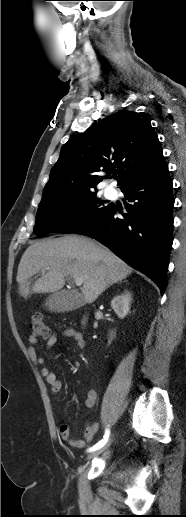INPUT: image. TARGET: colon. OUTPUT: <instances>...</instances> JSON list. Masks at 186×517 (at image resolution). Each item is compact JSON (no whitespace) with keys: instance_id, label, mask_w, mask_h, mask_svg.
<instances>
[{"instance_id":"1","label":"colon","mask_w":186,"mask_h":517,"mask_svg":"<svg viewBox=\"0 0 186 517\" xmlns=\"http://www.w3.org/2000/svg\"><path fill=\"white\" fill-rule=\"evenodd\" d=\"M30 333L34 337L47 339L50 336V331L45 323L43 316L36 313L32 316L30 322Z\"/></svg>"}]
</instances>
